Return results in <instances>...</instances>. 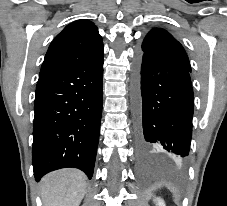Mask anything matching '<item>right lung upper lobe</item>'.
Here are the masks:
<instances>
[{"label": "right lung upper lobe", "instance_id": "cb5924a9", "mask_svg": "<svg viewBox=\"0 0 227 206\" xmlns=\"http://www.w3.org/2000/svg\"><path fill=\"white\" fill-rule=\"evenodd\" d=\"M102 58L103 41L97 27L88 20H77L51 42L39 78L93 64Z\"/></svg>", "mask_w": 227, "mask_h": 206}]
</instances>
